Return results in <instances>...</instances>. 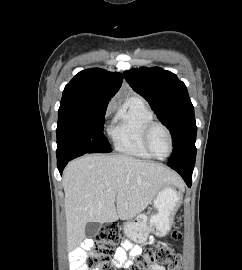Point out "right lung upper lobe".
Here are the masks:
<instances>
[{"instance_id": "right-lung-upper-lobe-1", "label": "right lung upper lobe", "mask_w": 242, "mask_h": 270, "mask_svg": "<svg viewBox=\"0 0 242 270\" xmlns=\"http://www.w3.org/2000/svg\"><path fill=\"white\" fill-rule=\"evenodd\" d=\"M123 76L103 69L79 72L65 86L59 109H95L107 107L119 90Z\"/></svg>"}]
</instances>
